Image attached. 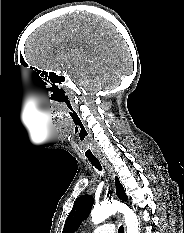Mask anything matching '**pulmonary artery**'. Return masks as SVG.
<instances>
[{
	"label": "pulmonary artery",
	"instance_id": "pulmonary-artery-1",
	"mask_svg": "<svg viewBox=\"0 0 184 233\" xmlns=\"http://www.w3.org/2000/svg\"><path fill=\"white\" fill-rule=\"evenodd\" d=\"M91 233H116V228L113 223H106L98 226Z\"/></svg>",
	"mask_w": 184,
	"mask_h": 233
}]
</instances>
